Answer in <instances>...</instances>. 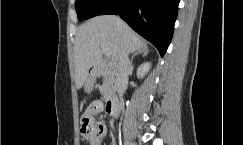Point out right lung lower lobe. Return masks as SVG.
Listing matches in <instances>:
<instances>
[{
  "label": "right lung lower lobe",
  "mask_w": 243,
  "mask_h": 145,
  "mask_svg": "<svg viewBox=\"0 0 243 145\" xmlns=\"http://www.w3.org/2000/svg\"><path fill=\"white\" fill-rule=\"evenodd\" d=\"M180 0H102L87 15L116 14L163 56L171 42Z\"/></svg>",
  "instance_id": "98d812e1"
}]
</instances>
